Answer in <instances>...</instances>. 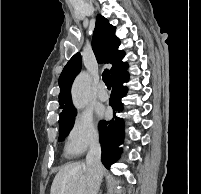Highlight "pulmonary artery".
Here are the masks:
<instances>
[{"label":"pulmonary artery","instance_id":"pulmonary-artery-1","mask_svg":"<svg viewBox=\"0 0 201 194\" xmlns=\"http://www.w3.org/2000/svg\"><path fill=\"white\" fill-rule=\"evenodd\" d=\"M98 98L101 101H106L109 98V94H108V92L105 89V86L103 84L100 86V89H99V92H98Z\"/></svg>","mask_w":201,"mask_h":194}]
</instances>
